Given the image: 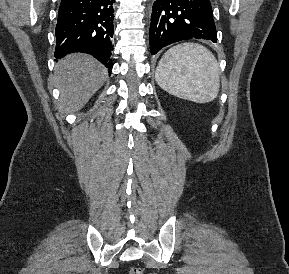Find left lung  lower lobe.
Instances as JSON below:
<instances>
[{
    "label": "left lung lower lobe",
    "mask_w": 289,
    "mask_h": 274,
    "mask_svg": "<svg viewBox=\"0 0 289 274\" xmlns=\"http://www.w3.org/2000/svg\"><path fill=\"white\" fill-rule=\"evenodd\" d=\"M192 38L217 41L210 0H156L149 34L151 54Z\"/></svg>",
    "instance_id": "obj_1"
}]
</instances>
